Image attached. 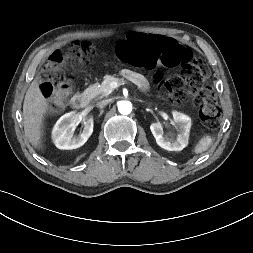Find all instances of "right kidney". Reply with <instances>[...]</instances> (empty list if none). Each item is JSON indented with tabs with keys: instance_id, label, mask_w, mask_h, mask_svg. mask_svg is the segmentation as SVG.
<instances>
[{
	"instance_id": "1",
	"label": "right kidney",
	"mask_w": 253,
	"mask_h": 253,
	"mask_svg": "<svg viewBox=\"0 0 253 253\" xmlns=\"http://www.w3.org/2000/svg\"><path fill=\"white\" fill-rule=\"evenodd\" d=\"M78 123V115L75 112L66 113L58 119L52 130V139L58 149L72 150L87 142L93 132V119L86 120L83 132L78 137H73Z\"/></svg>"
}]
</instances>
